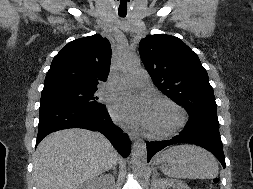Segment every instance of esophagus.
<instances>
[{
  "label": "esophagus",
  "instance_id": "esophagus-1",
  "mask_svg": "<svg viewBox=\"0 0 253 189\" xmlns=\"http://www.w3.org/2000/svg\"><path fill=\"white\" fill-rule=\"evenodd\" d=\"M128 135L131 141H135L136 139H138V134L135 132H129Z\"/></svg>",
  "mask_w": 253,
  "mask_h": 189
}]
</instances>
